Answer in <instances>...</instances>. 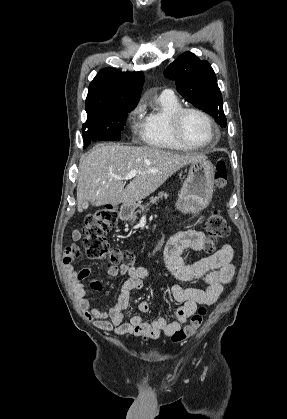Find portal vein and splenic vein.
Wrapping results in <instances>:
<instances>
[{
	"label": "portal vein and splenic vein",
	"mask_w": 287,
	"mask_h": 419,
	"mask_svg": "<svg viewBox=\"0 0 287 419\" xmlns=\"http://www.w3.org/2000/svg\"><path fill=\"white\" fill-rule=\"evenodd\" d=\"M137 174H145V172H140V171H137V170H131L124 177H116V178L126 181V180H130V179L134 178Z\"/></svg>",
	"instance_id": "obj_1"
}]
</instances>
